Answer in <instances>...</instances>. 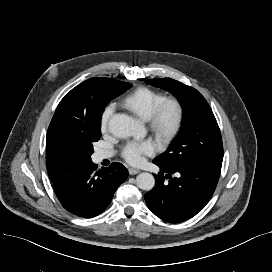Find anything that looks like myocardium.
Listing matches in <instances>:
<instances>
[{
    "instance_id": "1",
    "label": "myocardium",
    "mask_w": 272,
    "mask_h": 272,
    "mask_svg": "<svg viewBox=\"0 0 272 272\" xmlns=\"http://www.w3.org/2000/svg\"><path fill=\"white\" fill-rule=\"evenodd\" d=\"M184 108L174 96L164 97L148 119L152 132L161 140L173 137L182 125Z\"/></svg>"
}]
</instances>
